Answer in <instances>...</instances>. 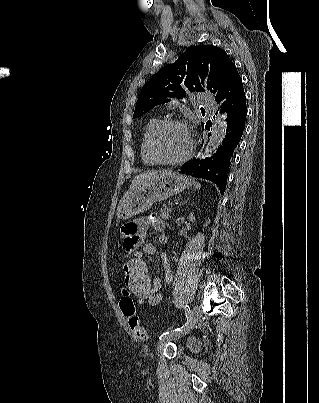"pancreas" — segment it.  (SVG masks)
Segmentation results:
<instances>
[{"label":"pancreas","instance_id":"cf45deb5","mask_svg":"<svg viewBox=\"0 0 319 403\" xmlns=\"http://www.w3.org/2000/svg\"><path fill=\"white\" fill-rule=\"evenodd\" d=\"M171 212L172 208L164 204L163 207L160 209V216L163 219H168L170 217Z\"/></svg>","mask_w":319,"mask_h":403}]
</instances>
